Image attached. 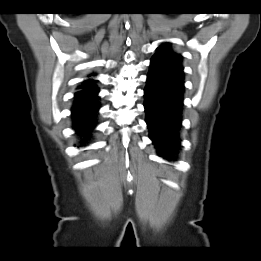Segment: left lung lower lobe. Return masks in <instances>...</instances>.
Instances as JSON below:
<instances>
[{
  "label": "left lung lower lobe",
  "instance_id": "left-lung-lower-lobe-1",
  "mask_svg": "<svg viewBox=\"0 0 261 261\" xmlns=\"http://www.w3.org/2000/svg\"><path fill=\"white\" fill-rule=\"evenodd\" d=\"M183 94V69L151 60L144 89L146 123L159 156L167 160L180 147Z\"/></svg>",
  "mask_w": 261,
  "mask_h": 261
}]
</instances>
